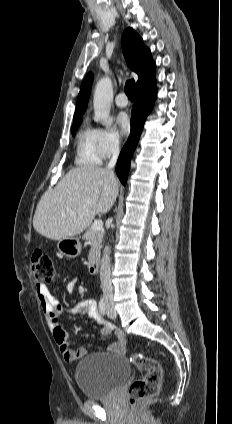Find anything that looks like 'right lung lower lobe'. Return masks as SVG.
<instances>
[{
    "label": "right lung lower lobe",
    "instance_id": "obj_1",
    "mask_svg": "<svg viewBox=\"0 0 232 424\" xmlns=\"http://www.w3.org/2000/svg\"><path fill=\"white\" fill-rule=\"evenodd\" d=\"M156 80L145 87L136 89L135 103L132 107L130 136L119 155L116 172L123 185H126L130 160L139 141L144 121L150 113L156 98Z\"/></svg>",
    "mask_w": 232,
    "mask_h": 424
}]
</instances>
